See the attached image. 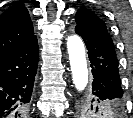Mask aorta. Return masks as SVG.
Masks as SVG:
<instances>
[{
	"label": "aorta",
	"instance_id": "1",
	"mask_svg": "<svg viewBox=\"0 0 133 118\" xmlns=\"http://www.w3.org/2000/svg\"><path fill=\"white\" fill-rule=\"evenodd\" d=\"M67 49L73 84L76 90L82 92L88 84V68L84 43L77 35L69 36L67 39Z\"/></svg>",
	"mask_w": 133,
	"mask_h": 118
}]
</instances>
